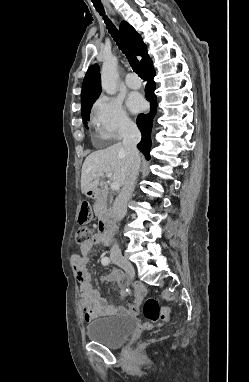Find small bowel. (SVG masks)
<instances>
[{"label":"small bowel","mask_w":249,"mask_h":382,"mask_svg":"<svg viewBox=\"0 0 249 382\" xmlns=\"http://www.w3.org/2000/svg\"><path fill=\"white\" fill-rule=\"evenodd\" d=\"M101 244L108 246L111 244V240L104 237L100 232L92 233L90 239L86 243L80 245V253L72 256V265L76 272L79 284L80 303L83 310V317L86 322H92L100 317L135 314L138 310L140 300L145 293L143 284H134V300L128 309L116 308L109 305L107 300L101 297L100 292L94 288L92 284L91 273L87 266L90 254ZM101 281H113L120 287H124L128 283V279L125 275L116 270L103 276Z\"/></svg>","instance_id":"1"}]
</instances>
